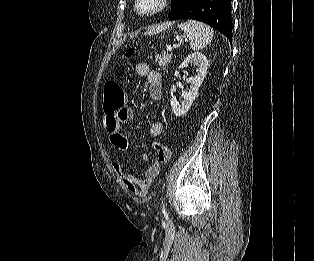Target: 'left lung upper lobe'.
Wrapping results in <instances>:
<instances>
[{"mask_svg": "<svg viewBox=\"0 0 314 261\" xmlns=\"http://www.w3.org/2000/svg\"><path fill=\"white\" fill-rule=\"evenodd\" d=\"M183 1L184 0H171V16L178 11Z\"/></svg>", "mask_w": 314, "mask_h": 261, "instance_id": "5c2ea615", "label": "left lung upper lobe"}]
</instances>
